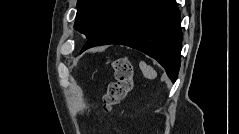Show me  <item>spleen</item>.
I'll return each instance as SVG.
<instances>
[{"instance_id":"3e777b00","label":"spleen","mask_w":239,"mask_h":134,"mask_svg":"<svg viewBox=\"0 0 239 134\" xmlns=\"http://www.w3.org/2000/svg\"><path fill=\"white\" fill-rule=\"evenodd\" d=\"M139 67L145 78L150 80L156 78L157 76L156 71L151 66L147 65L145 62H140Z\"/></svg>"}]
</instances>
